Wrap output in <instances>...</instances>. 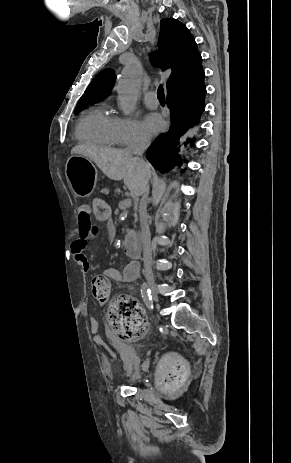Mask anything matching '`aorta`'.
I'll return each mask as SVG.
<instances>
[{
	"label": "aorta",
	"mask_w": 291,
	"mask_h": 463,
	"mask_svg": "<svg viewBox=\"0 0 291 463\" xmlns=\"http://www.w3.org/2000/svg\"><path fill=\"white\" fill-rule=\"evenodd\" d=\"M140 83V65L137 62H132L123 69L117 87L119 105L125 115H130L135 110Z\"/></svg>",
	"instance_id": "1"
}]
</instances>
